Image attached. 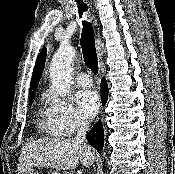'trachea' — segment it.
Instances as JSON below:
<instances>
[{"label": "trachea", "instance_id": "trachea-1", "mask_svg": "<svg viewBox=\"0 0 175 174\" xmlns=\"http://www.w3.org/2000/svg\"><path fill=\"white\" fill-rule=\"evenodd\" d=\"M77 3L79 7V16L82 18L83 12L87 10V5L80 0H77ZM82 24L81 46L84 61L92 72L96 74L98 72V61L95 48L94 30L91 23L82 21Z\"/></svg>", "mask_w": 175, "mask_h": 174}]
</instances>
